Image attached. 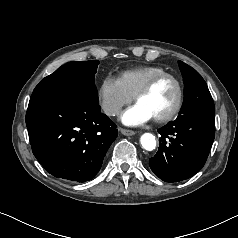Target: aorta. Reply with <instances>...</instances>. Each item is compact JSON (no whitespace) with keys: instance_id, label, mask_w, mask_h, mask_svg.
<instances>
[{"instance_id":"obj_1","label":"aorta","mask_w":238,"mask_h":238,"mask_svg":"<svg viewBox=\"0 0 238 238\" xmlns=\"http://www.w3.org/2000/svg\"><path fill=\"white\" fill-rule=\"evenodd\" d=\"M140 143L142 148L147 151H152L156 148V139L155 136L151 133H144L140 137Z\"/></svg>"}]
</instances>
